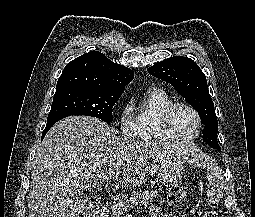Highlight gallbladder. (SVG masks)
<instances>
[{"instance_id": "obj_1", "label": "gallbladder", "mask_w": 255, "mask_h": 217, "mask_svg": "<svg viewBox=\"0 0 255 217\" xmlns=\"http://www.w3.org/2000/svg\"><path fill=\"white\" fill-rule=\"evenodd\" d=\"M97 200L95 199V198H92V197H88L87 199H86V208H85V210L83 211V213L84 212H87L88 211V209H90L91 207H95V206H97Z\"/></svg>"}]
</instances>
